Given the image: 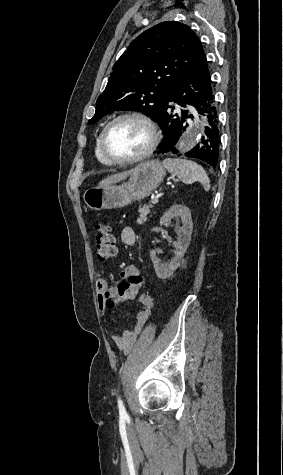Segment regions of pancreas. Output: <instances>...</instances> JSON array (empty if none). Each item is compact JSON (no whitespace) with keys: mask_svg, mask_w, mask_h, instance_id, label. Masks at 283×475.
Returning a JSON list of instances; mask_svg holds the SVG:
<instances>
[{"mask_svg":"<svg viewBox=\"0 0 283 475\" xmlns=\"http://www.w3.org/2000/svg\"><path fill=\"white\" fill-rule=\"evenodd\" d=\"M150 208H151V204L150 206H142V208H140V210H138L139 212V218L137 220V224H144V222H146L147 220V216L150 212Z\"/></svg>","mask_w":283,"mask_h":475,"instance_id":"pancreas-1","label":"pancreas"}]
</instances>
